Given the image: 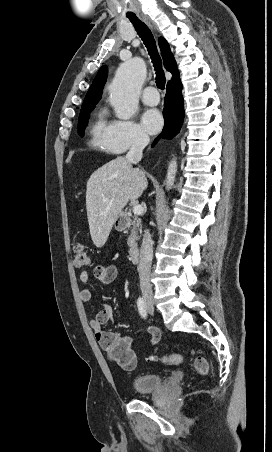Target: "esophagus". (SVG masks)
Listing matches in <instances>:
<instances>
[{
	"label": "esophagus",
	"mask_w": 272,
	"mask_h": 452,
	"mask_svg": "<svg viewBox=\"0 0 272 452\" xmlns=\"http://www.w3.org/2000/svg\"><path fill=\"white\" fill-rule=\"evenodd\" d=\"M143 20H144L149 26L152 27V25L150 24V22H149L145 17H143Z\"/></svg>",
	"instance_id": "34e87169"
}]
</instances>
